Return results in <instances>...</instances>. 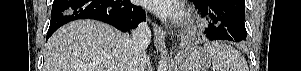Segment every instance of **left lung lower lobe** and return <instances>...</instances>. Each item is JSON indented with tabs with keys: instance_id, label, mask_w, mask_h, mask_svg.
<instances>
[{
	"instance_id": "1",
	"label": "left lung lower lobe",
	"mask_w": 301,
	"mask_h": 71,
	"mask_svg": "<svg viewBox=\"0 0 301 71\" xmlns=\"http://www.w3.org/2000/svg\"><path fill=\"white\" fill-rule=\"evenodd\" d=\"M192 1V0H190ZM211 22L204 33L211 40H245V0H204L192 1Z\"/></svg>"
}]
</instances>
